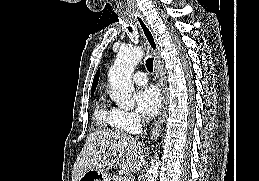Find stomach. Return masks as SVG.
Here are the masks:
<instances>
[{
	"mask_svg": "<svg viewBox=\"0 0 259 181\" xmlns=\"http://www.w3.org/2000/svg\"><path fill=\"white\" fill-rule=\"evenodd\" d=\"M78 181H110V174L108 170L93 168L86 171Z\"/></svg>",
	"mask_w": 259,
	"mask_h": 181,
	"instance_id": "1",
	"label": "stomach"
}]
</instances>
